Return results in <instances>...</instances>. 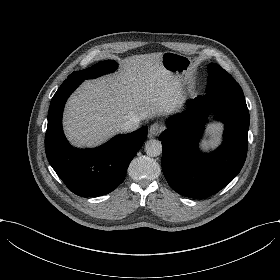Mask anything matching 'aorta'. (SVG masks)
Wrapping results in <instances>:
<instances>
[{
	"label": "aorta",
	"instance_id": "762f6f07",
	"mask_svg": "<svg viewBox=\"0 0 280 280\" xmlns=\"http://www.w3.org/2000/svg\"><path fill=\"white\" fill-rule=\"evenodd\" d=\"M145 152L152 157L159 156L162 153V143L156 139H149L145 143Z\"/></svg>",
	"mask_w": 280,
	"mask_h": 280
}]
</instances>
